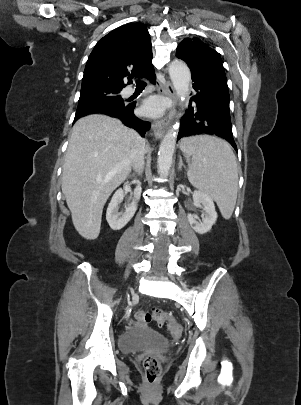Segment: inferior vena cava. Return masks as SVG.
I'll use <instances>...</instances> for the list:
<instances>
[{
  "mask_svg": "<svg viewBox=\"0 0 301 405\" xmlns=\"http://www.w3.org/2000/svg\"><path fill=\"white\" fill-rule=\"evenodd\" d=\"M145 140L135 132L134 144L131 151L132 167L138 173L144 168Z\"/></svg>",
  "mask_w": 301,
  "mask_h": 405,
  "instance_id": "obj_1",
  "label": "inferior vena cava"
}]
</instances>
